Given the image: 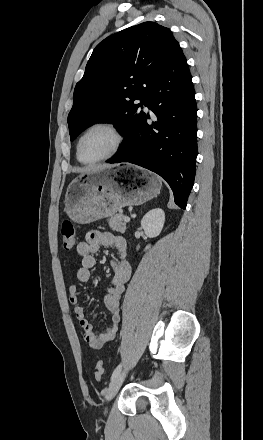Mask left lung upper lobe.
<instances>
[{
	"label": "left lung upper lobe",
	"instance_id": "1",
	"mask_svg": "<svg viewBox=\"0 0 263 440\" xmlns=\"http://www.w3.org/2000/svg\"><path fill=\"white\" fill-rule=\"evenodd\" d=\"M176 42L168 28L155 22L132 26L100 42L74 90L68 115L70 139L99 121L115 122L126 139L142 112L150 84Z\"/></svg>",
	"mask_w": 263,
	"mask_h": 440
}]
</instances>
